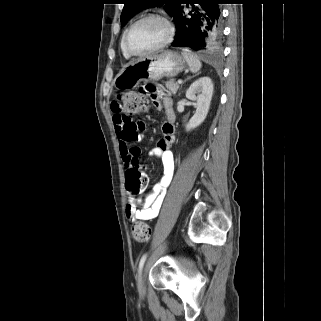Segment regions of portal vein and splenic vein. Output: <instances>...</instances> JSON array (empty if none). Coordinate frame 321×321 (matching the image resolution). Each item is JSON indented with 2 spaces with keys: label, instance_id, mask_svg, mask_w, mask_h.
Masks as SVG:
<instances>
[{
  "label": "portal vein and splenic vein",
  "instance_id": "18ae733b",
  "mask_svg": "<svg viewBox=\"0 0 321 321\" xmlns=\"http://www.w3.org/2000/svg\"><path fill=\"white\" fill-rule=\"evenodd\" d=\"M177 83H178V84H181V83H182V80L179 79V80L177 81Z\"/></svg>",
  "mask_w": 321,
  "mask_h": 321
}]
</instances>
